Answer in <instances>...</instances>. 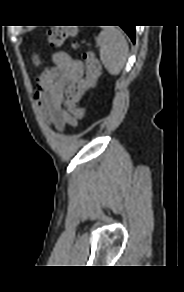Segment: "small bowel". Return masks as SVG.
I'll return each mask as SVG.
<instances>
[{
    "instance_id": "small-bowel-1",
    "label": "small bowel",
    "mask_w": 184,
    "mask_h": 292,
    "mask_svg": "<svg viewBox=\"0 0 184 292\" xmlns=\"http://www.w3.org/2000/svg\"><path fill=\"white\" fill-rule=\"evenodd\" d=\"M51 61L53 65L37 79L35 97L48 122L63 130L66 125H76V119L63 108L65 89L82 78L84 66L64 51L53 53Z\"/></svg>"
}]
</instances>
